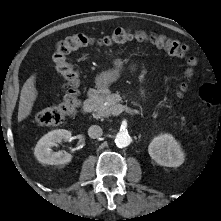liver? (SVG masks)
I'll return each mask as SVG.
<instances>
[{"instance_id":"6515ba94","label":"liver","mask_w":221,"mask_h":221,"mask_svg":"<svg viewBox=\"0 0 221 221\" xmlns=\"http://www.w3.org/2000/svg\"><path fill=\"white\" fill-rule=\"evenodd\" d=\"M37 94L35 87V75H32L24 83L21 90L18 108V122L24 120L30 115Z\"/></svg>"}]
</instances>
